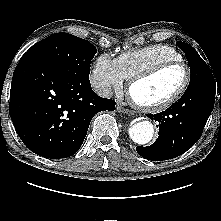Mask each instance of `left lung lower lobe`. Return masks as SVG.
<instances>
[{
	"label": "left lung lower lobe",
	"instance_id": "left-lung-lower-lobe-1",
	"mask_svg": "<svg viewBox=\"0 0 221 221\" xmlns=\"http://www.w3.org/2000/svg\"><path fill=\"white\" fill-rule=\"evenodd\" d=\"M217 85L212 79L190 87L164 112L147 115L159 122V136L150 146L136 147L137 152L145 159L162 161L190 149L199 140L213 110L216 88L219 93L221 90L219 80Z\"/></svg>",
	"mask_w": 221,
	"mask_h": 221
}]
</instances>
